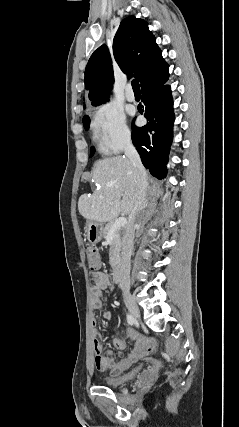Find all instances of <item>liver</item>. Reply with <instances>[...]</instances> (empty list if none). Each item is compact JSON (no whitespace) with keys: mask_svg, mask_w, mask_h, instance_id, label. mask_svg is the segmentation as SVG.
Instances as JSON below:
<instances>
[{"mask_svg":"<svg viewBox=\"0 0 239 427\" xmlns=\"http://www.w3.org/2000/svg\"><path fill=\"white\" fill-rule=\"evenodd\" d=\"M91 178L95 190L81 195L78 201L84 218L103 224L131 213L138 195V176L129 158L115 156L97 161Z\"/></svg>","mask_w":239,"mask_h":427,"instance_id":"obj_1","label":"liver"}]
</instances>
